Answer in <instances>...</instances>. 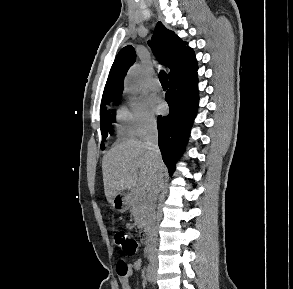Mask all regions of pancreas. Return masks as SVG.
Returning a JSON list of instances; mask_svg holds the SVG:
<instances>
[{"instance_id": "1", "label": "pancreas", "mask_w": 293, "mask_h": 289, "mask_svg": "<svg viewBox=\"0 0 293 289\" xmlns=\"http://www.w3.org/2000/svg\"><path fill=\"white\" fill-rule=\"evenodd\" d=\"M128 201L130 205V212L135 220V225H137L138 228L143 227L147 214V202L145 195L143 193L137 194L133 191L129 194Z\"/></svg>"}]
</instances>
